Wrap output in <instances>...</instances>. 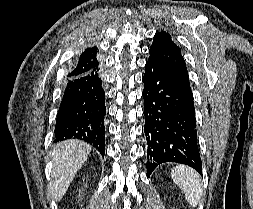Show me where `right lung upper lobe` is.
Wrapping results in <instances>:
<instances>
[{
  "mask_svg": "<svg viewBox=\"0 0 253 209\" xmlns=\"http://www.w3.org/2000/svg\"><path fill=\"white\" fill-rule=\"evenodd\" d=\"M97 47H89L76 60L68 78H76L99 70L100 61Z\"/></svg>",
  "mask_w": 253,
  "mask_h": 209,
  "instance_id": "obj_1",
  "label": "right lung upper lobe"
}]
</instances>
